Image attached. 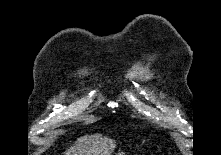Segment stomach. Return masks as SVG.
<instances>
[{"instance_id":"obj_1","label":"stomach","mask_w":221,"mask_h":155,"mask_svg":"<svg viewBox=\"0 0 221 155\" xmlns=\"http://www.w3.org/2000/svg\"><path fill=\"white\" fill-rule=\"evenodd\" d=\"M118 155H125L124 153H120V154H118Z\"/></svg>"}]
</instances>
